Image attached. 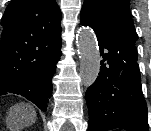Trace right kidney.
Segmentation results:
<instances>
[{"instance_id": "obj_1", "label": "right kidney", "mask_w": 151, "mask_h": 131, "mask_svg": "<svg viewBox=\"0 0 151 131\" xmlns=\"http://www.w3.org/2000/svg\"><path fill=\"white\" fill-rule=\"evenodd\" d=\"M28 118V117H27ZM27 118L25 119V124H27ZM17 119V117L16 116H12V121H15ZM21 122V121H20ZM18 126H16V125H14V126H12V127H10V130L11 131H17L18 130Z\"/></svg>"}]
</instances>
